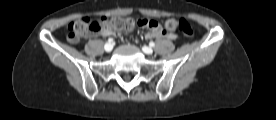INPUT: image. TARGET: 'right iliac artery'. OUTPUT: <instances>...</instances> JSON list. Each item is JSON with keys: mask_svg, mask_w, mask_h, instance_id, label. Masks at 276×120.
<instances>
[{"mask_svg": "<svg viewBox=\"0 0 276 120\" xmlns=\"http://www.w3.org/2000/svg\"><path fill=\"white\" fill-rule=\"evenodd\" d=\"M113 41H114V40H113L112 38H109V39H108V42H109V43H113Z\"/></svg>", "mask_w": 276, "mask_h": 120, "instance_id": "1", "label": "right iliac artery"}]
</instances>
